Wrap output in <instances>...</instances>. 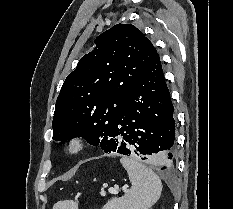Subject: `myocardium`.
Instances as JSON below:
<instances>
[{"mask_svg":"<svg viewBox=\"0 0 233 209\" xmlns=\"http://www.w3.org/2000/svg\"><path fill=\"white\" fill-rule=\"evenodd\" d=\"M85 147V141L81 136L71 137L66 144V151L70 155L79 154Z\"/></svg>","mask_w":233,"mask_h":209,"instance_id":"1","label":"myocardium"}]
</instances>
